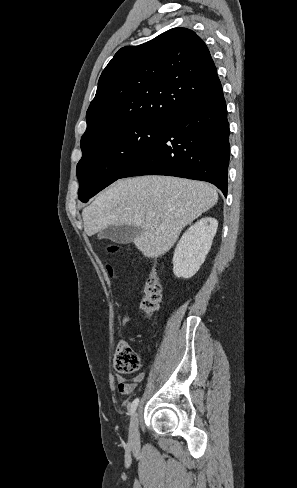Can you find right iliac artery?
Wrapping results in <instances>:
<instances>
[{
	"label": "right iliac artery",
	"instance_id": "obj_1",
	"mask_svg": "<svg viewBox=\"0 0 297 488\" xmlns=\"http://www.w3.org/2000/svg\"><path fill=\"white\" fill-rule=\"evenodd\" d=\"M138 403H139V398H136L132 404H131V407H130V413L133 414L138 406Z\"/></svg>",
	"mask_w": 297,
	"mask_h": 488
}]
</instances>
